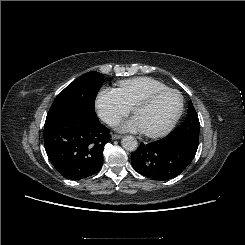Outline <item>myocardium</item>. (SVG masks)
Returning <instances> with one entry per match:
<instances>
[{
  "instance_id": "f54148a6",
  "label": "myocardium",
  "mask_w": 245,
  "mask_h": 245,
  "mask_svg": "<svg viewBox=\"0 0 245 245\" xmlns=\"http://www.w3.org/2000/svg\"><path fill=\"white\" fill-rule=\"evenodd\" d=\"M166 93H175L178 95L179 99H180V106L179 109L176 113V115L174 116V118L171 120V122L164 127L163 129L159 130V131H155V132H144V135H146L149 138H160L163 137L167 134H169L177 125L178 121L180 120L183 111H184V105H185V101H184V97L181 94V92L177 89H173V88H166L163 90H158V91H154L151 92L149 94L143 95L140 98H138L132 105H131V111L134 114L136 107L140 106V105H146L151 103L153 100H155L156 98L166 94Z\"/></svg>"
}]
</instances>
